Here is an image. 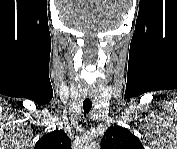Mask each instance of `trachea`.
<instances>
[{
    "label": "trachea",
    "mask_w": 177,
    "mask_h": 149,
    "mask_svg": "<svg viewBox=\"0 0 177 149\" xmlns=\"http://www.w3.org/2000/svg\"><path fill=\"white\" fill-rule=\"evenodd\" d=\"M92 108V102L88 101V102H83V110H84V113H85V117L86 115L90 112Z\"/></svg>",
    "instance_id": "3493384b"
}]
</instances>
